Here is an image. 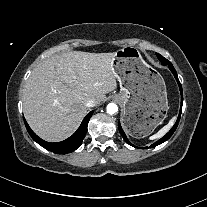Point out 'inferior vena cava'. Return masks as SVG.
<instances>
[{"label": "inferior vena cava", "mask_w": 207, "mask_h": 207, "mask_svg": "<svg viewBox=\"0 0 207 207\" xmlns=\"http://www.w3.org/2000/svg\"><path fill=\"white\" fill-rule=\"evenodd\" d=\"M97 105V101L95 99H89L86 103L87 107H94Z\"/></svg>", "instance_id": "inferior-vena-cava-1"}]
</instances>
